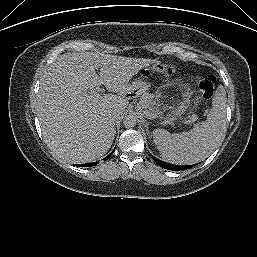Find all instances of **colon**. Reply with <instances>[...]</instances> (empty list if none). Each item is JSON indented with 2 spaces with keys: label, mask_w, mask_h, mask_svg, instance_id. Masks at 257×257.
I'll use <instances>...</instances> for the list:
<instances>
[{
  "label": "colon",
  "mask_w": 257,
  "mask_h": 257,
  "mask_svg": "<svg viewBox=\"0 0 257 257\" xmlns=\"http://www.w3.org/2000/svg\"><path fill=\"white\" fill-rule=\"evenodd\" d=\"M175 69L168 64L162 62H155L148 66L145 70V75L161 74L163 76H171L174 74ZM216 78L212 75L203 77L199 82V90L202 97L206 100L212 98L215 90Z\"/></svg>",
  "instance_id": "obj_1"
}]
</instances>
